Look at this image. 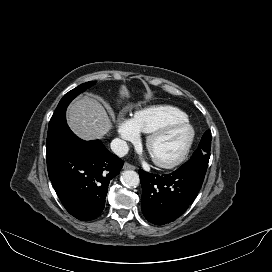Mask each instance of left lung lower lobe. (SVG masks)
I'll list each match as a JSON object with an SVG mask.
<instances>
[{
  "label": "left lung lower lobe",
  "mask_w": 272,
  "mask_h": 272,
  "mask_svg": "<svg viewBox=\"0 0 272 272\" xmlns=\"http://www.w3.org/2000/svg\"><path fill=\"white\" fill-rule=\"evenodd\" d=\"M208 162L209 158L192 159L162 176L139 170L145 218L153 224L164 225L182 215L202 186Z\"/></svg>",
  "instance_id": "0a47b994"
}]
</instances>
